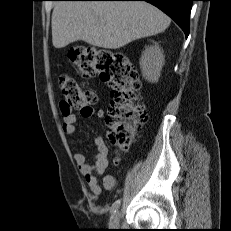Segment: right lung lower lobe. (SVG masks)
Here are the masks:
<instances>
[{"mask_svg":"<svg viewBox=\"0 0 231 231\" xmlns=\"http://www.w3.org/2000/svg\"><path fill=\"white\" fill-rule=\"evenodd\" d=\"M89 1H147L161 9L171 17L184 31L185 36L189 34V17L192 2L194 0H89Z\"/></svg>","mask_w":231,"mask_h":231,"instance_id":"1","label":"right lung lower lobe"}]
</instances>
